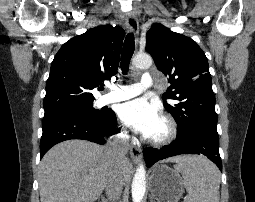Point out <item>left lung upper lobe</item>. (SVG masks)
I'll return each mask as SVG.
<instances>
[{
	"label": "left lung upper lobe",
	"instance_id": "left-lung-upper-lobe-1",
	"mask_svg": "<svg viewBox=\"0 0 255 202\" xmlns=\"http://www.w3.org/2000/svg\"><path fill=\"white\" fill-rule=\"evenodd\" d=\"M146 50L171 84L163 99L178 124L177 136L200 131L217 133L208 60L198 44L156 23L147 32ZM166 99L175 103L169 104Z\"/></svg>",
	"mask_w": 255,
	"mask_h": 202
}]
</instances>
